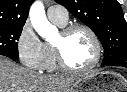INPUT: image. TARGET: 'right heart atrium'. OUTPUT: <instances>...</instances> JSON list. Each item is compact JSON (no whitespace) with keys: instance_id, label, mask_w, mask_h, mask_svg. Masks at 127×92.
<instances>
[{"instance_id":"obj_1","label":"right heart atrium","mask_w":127,"mask_h":92,"mask_svg":"<svg viewBox=\"0 0 127 92\" xmlns=\"http://www.w3.org/2000/svg\"><path fill=\"white\" fill-rule=\"evenodd\" d=\"M16 49L24 67L37 71L42 70L46 56L44 43L29 23H25L20 30L16 40Z\"/></svg>"}]
</instances>
